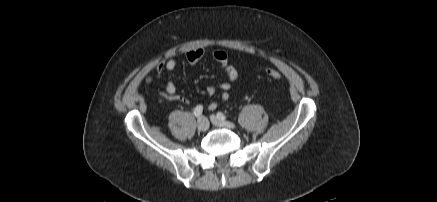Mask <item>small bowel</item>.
<instances>
[{
  "label": "small bowel",
  "instance_id": "obj_1",
  "mask_svg": "<svg viewBox=\"0 0 437 202\" xmlns=\"http://www.w3.org/2000/svg\"><path fill=\"white\" fill-rule=\"evenodd\" d=\"M204 56V50L202 48H193L186 53V60L189 64H196ZM214 60L225 71L229 82H223L218 86H209L206 90L209 96H213L217 89L222 91L220 95L221 101H227L229 98V90L231 89V82L235 81L238 77V72L232 63V60L227 52L223 50H216L213 53ZM176 60L170 58L166 61L159 62L156 66L158 76L165 69L167 71H173L176 68ZM166 94L169 97H173L176 93V86L173 82L169 81L165 88ZM218 106V102H212L209 104V109L214 110Z\"/></svg>",
  "mask_w": 437,
  "mask_h": 202
}]
</instances>
